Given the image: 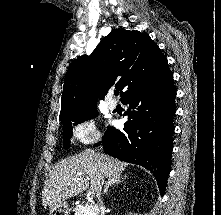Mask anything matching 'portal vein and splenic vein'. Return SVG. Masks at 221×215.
Segmentation results:
<instances>
[{
  "mask_svg": "<svg viewBox=\"0 0 221 215\" xmlns=\"http://www.w3.org/2000/svg\"><path fill=\"white\" fill-rule=\"evenodd\" d=\"M93 196H94V192L93 191H89L87 193V200H91L93 198Z\"/></svg>",
  "mask_w": 221,
  "mask_h": 215,
  "instance_id": "1",
  "label": "portal vein and splenic vein"
}]
</instances>
